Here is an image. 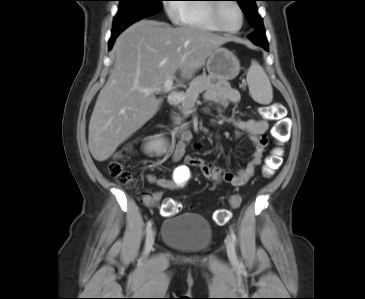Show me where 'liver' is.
Masks as SVG:
<instances>
[{"mask_svg": "<svg viewBox=\"0 0 365 299\" xmlns=\"http://www.w3.org/2000/svg\"><path fill=\"white\" fill-rule=\"evenodd\" d=\"M230 37L196 27H171L141 20L125 30L113 47L114 64L89 123L93 158L106 161L159 110L161 100L141 89L162 87L177 70L189 80L210 53Z\"/></svg>", "mask_w": 365, "mask_h": 299, "instance_id": "liver-1", "label": "liver"}]
</instances>
